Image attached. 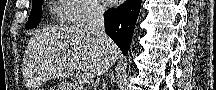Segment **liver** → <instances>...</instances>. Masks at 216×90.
<instances>
[{
	"instance_id": "obj_1",
	"label": "liver",
	"mask_w": 216,
	"mask_h": 90,
	"mask_svg": "<svg viewBox=\"0 0 216 90\" xmlns=\"http://www.w3.org/2000/svg\"><path fill=\"white\" fill-rule=\"evenodd\" d=\"M112 62L117 60L119 48L112 40ZM27 62L36 58L42 74L48 78H70L75 72H97L103 66L99 36L88 32L82 22H68L64 26L45 28L32 38L26 52Z\"/></svg>"
}]
</instances>
